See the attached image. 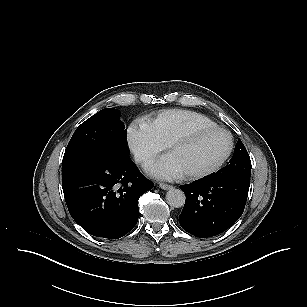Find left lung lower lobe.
Wrapping results in <instances>:
<instances>
[{
	"label": "left lung lower lobe",
	"mask_w": 307,
	"mask_h": 307,
	"mask_svg": "<svg viewBox=\"0 0 307 307\" xmlns=\"http://www.w3.org/2000/svg\"><path fill=\"white\" fill-rule=\"evenodd\" d=\"M249 177L215 179L204 177L180 188L186 201L179 223L201 238L216 236L242 215L249 191Z\"/></svg>",
	"instance_id": "1"
}]
</instances>
